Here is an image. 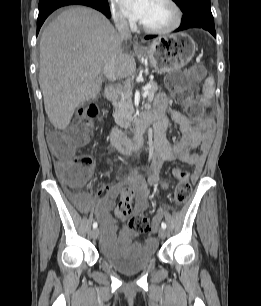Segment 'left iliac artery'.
Here are the masks:
<instances>
[{
	"mask_svg": "<svg viewBox=\"0 0 261 306\" xmlns=\"http://www.w3.org/2000/svg\"><path fill=\"white\" fill-rule=\"evenodd\" d=\"M161 227H162L163 229H166V227H167V226H166V223H165V222H162V223H161Z\"/></svg>",
	"mask_w": 261,
	"mask_h": 306,
	"instance_id": "left-iliac-artery-1",
	"label": "left iliac artery"
}]
</instances>
